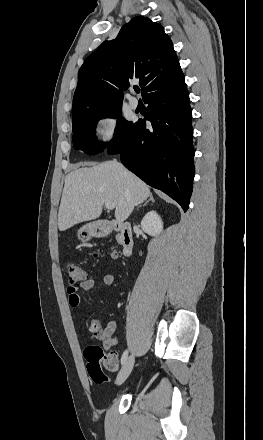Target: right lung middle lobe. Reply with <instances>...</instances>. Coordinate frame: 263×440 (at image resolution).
<instances>
[{
	"label": "right lung middle lobe",
	"mask_w": 263,
	"mask_h": 440,
	"mask_svg": "<svg viewBox=\"0 0 263 440\" xmlns=\"http://www.w3.org/2000/svg\"><path fill=\"white\" fill-rule=\"evenodd\" d=\"M121 106L90 111L73 118V145L78 150H83L85 153L92 155L102 152L106 148V144H99L95 137V125L105 117H118V125L115 129L114 140L109 144L119 143L120 140L132 127L133 122L127 121L120 117ZM108 145V146H109Z\"/></svg>",
	"instance_id": "1"
}]
</instances>
